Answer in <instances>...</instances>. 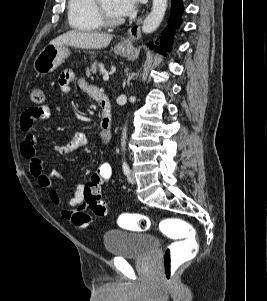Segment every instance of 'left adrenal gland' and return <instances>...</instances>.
I'll return each mask as SVG.
<instances>
[{
    "instance_id": "obj_1",
    "label": "left adrenal gland",
    "mask_w": 267,
    "mask_h": 301,
    "mask_svg": "<svg viewBox=\"0 0 267 301\" xmlns=\"http://www.w3.org/2000/svg\"><path fill=\"white\" fill-rule=\"evenodd\" d=\"M125 72H126V73L128 72V68H126Z\"/></svg>"
}]
</instances>
